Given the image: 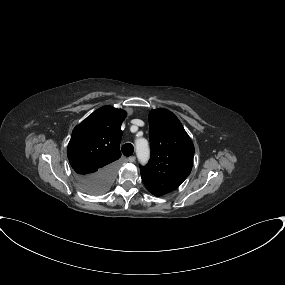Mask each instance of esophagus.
I'll use <instances>...</instances> for the list:
<instances>
[{"instance_id":"esophagus-1","label":"esophagus","mask_w":285,"mask_h":285,"mask_svg":"<svg viewBox=\"0 0 285 285\" xmlns=\"http://www.w3.org/2000/svg\"><path fill=\"white\" fill-rule=\"evenodd\" d=\"M135 159H136V158H135L134 156H131V157L128 158V161L131 162V163H133V162H135Z\"/></svg>"}]
</instances>
